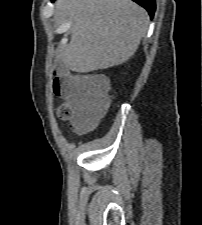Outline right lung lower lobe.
Returning <instances> with one entry per match:
<instances>
[{"mask_svg":"<svg viewBox=\"0 0 202 225\" xmlns=\"http://www.w3.org/2000/svg\"><path fill=\"white\" fill-rule=\"evenodd\" d=\"M133 1L144 7L148 11L150 17L151 18L153 17L155 12V0H133Z\"/></svg>","mask_w":202,"mask_h":225,"instance_id":"98d812e1","label":"right lung lower lobe"}]
</instances>
